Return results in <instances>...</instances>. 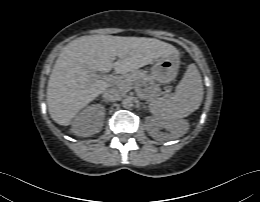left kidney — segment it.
I'll return each instance as SVG.
<instances>
[{
	"instance_id": "left-kidney-1",
	"label": "left kidney",
	"mask_w": 260,
	"mask_h": 202,
	"mask_svg": "<svg viewBox=\"0 0 260 202\" xmlns=\"http://www.w3.org/2000/svg\"><path fill=\"white\" fill-rule=\"evenodd\" d=\"M151 121L150 127H149V134L154 139H161L163 134L160 132V129L165 128L166 130L170 131L171 134L169 135L170 139H174L177 134V129L180 125V123L174 122V121H166V120H159L157 118H149Z\"/></svg>"
}]
</instances>
